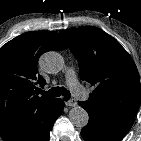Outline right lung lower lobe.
<instances>
[{"instance_id":"right-lung-lower-lobe-1","label":"right lung lower lobe","mask_w":141,"mask_h":141,"mask_svg":"<svg viewBox=\"0 0 141 141\" xmlns=\"http://www.w3.org/2000/svg\"><path fill=\"white\" fill-rule=\"evenodd\" d=\"M63 108L64 102L54 98L45 108L15 118L0 130V136L4 141H48L49 132Z\"/></svg>"}]
</instances>
